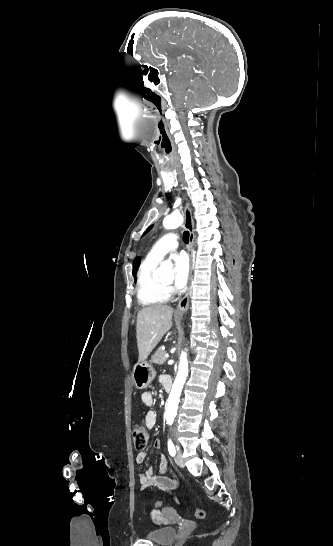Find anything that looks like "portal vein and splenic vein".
<instances>
[{"label": "portal vein and splenic vein", "instance_id": "obj_1", "mask_svg": "<svg viewBox=\"0 0 333 546\" xmlns=\"http://www.w3.org/2000/svg\"><path fill=\"white\" fill-rule=\"evenodd\" d=\"M168 357H169V354H168V353H166V354H165V358H168Z\"/></svg>", "mask_w": 333, "mask_h": 546}]
</instances>
